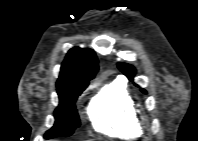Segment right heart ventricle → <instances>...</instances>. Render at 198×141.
<instances>
[{
  "label": "right heart ventricle",
  "instance_id": "obj_1",
  "mask_svg": "<svg viewBox=\"0 0 198 141\" xmlns=\"http://www.w3.org/2000/svg\"><path fill=\"white\" fill-rule=\"evenodd\" d=\"M87 114L93 128L104 135L120 139L140 136L135 104L121 80L106 84L91 99Z\"/></svg>",
  "mask_w": 198,
  "mask_h": 141
}]
</instances>
